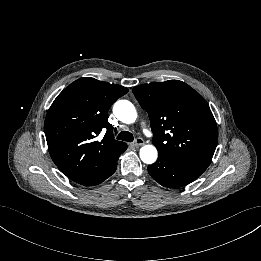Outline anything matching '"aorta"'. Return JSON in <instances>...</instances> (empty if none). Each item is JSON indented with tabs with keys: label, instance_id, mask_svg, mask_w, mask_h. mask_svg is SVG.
Masks as SVG:
<instances>
[{
	"label": "aorta",
	"instance_id": "1",
	"mask_svg": "<svg viewBox=\"0 0 261 261\" xmlns=\"http://www.w3.org/2000/svg\"><path fill=\"white\" fill-rule=\"evenodd\" d=\"M114 115L122 122L131 124L136 121L137 112L133 104L127 100H119L113 107ZM158 156L153 145H145L140 149V158L146 164H152Z\"/></svg>",
	"mask_w": 261,
	"mask_h": 261
}]
</instances>
